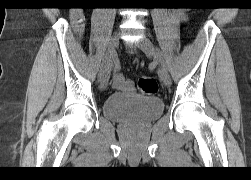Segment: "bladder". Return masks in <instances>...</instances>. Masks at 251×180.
<instances>
[{
  "label": "bladder",
  "instance_id": "31cf9c89",
  "mask_svg": "<svg viewBox=\"0 0 251 180\" xmlns=\"http://www.w3.org/2000/svg\"><path fill=\"white\" fill-rule=\"evenodd\" d=\"M163 101L155 96L110 95L103 104L105 118L115 122H150L163 112Z\"/></svg>",
  "mask_w": 251,
  "mask_h": 180
}]
</instances>
